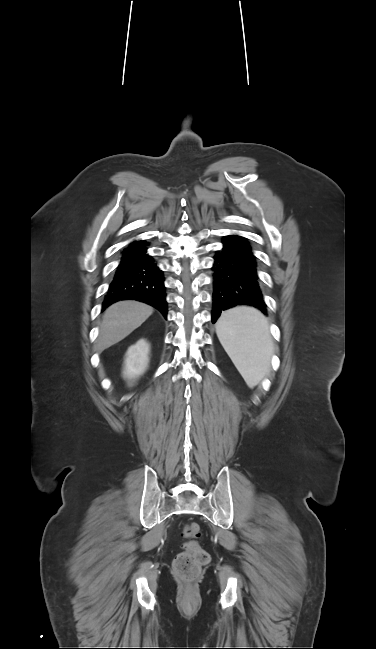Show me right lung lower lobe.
I'll list each match as a JSON object with an SVG mask.
<instances>
[{
    "label": "right lung lower lobe",
    "mask_w": 376,
    "mask_h": 649,
    "mask_svg": "<svg viewBox=\"0 0 376 649\" xmlns=\"http://www.w3.org/2000/svg\"><path fill=\"white\" fill-rule=\"evenodd\" d=\"M145 241H134L122 252V259L109 286L102 308L125 299H134L167 315L164 277L154 259L146 253Z\"/></svg>",
    "instance_id": "98d812e1"
}]
</instances>
